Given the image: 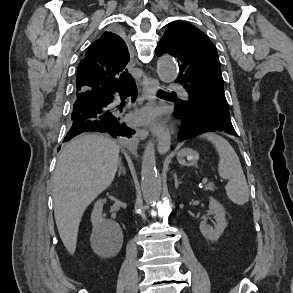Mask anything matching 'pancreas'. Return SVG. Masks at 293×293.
<instances>
[{
    "instance_id": "obj_1",
    "label": "pancreas",
    "mask_w": 293,
    "mask_h": 293,
    "mask_svg": "<svg viewBox=\"0 0 293 293\" xmlns=\"http://www.w3.org/2000/svg\"><path fill=\"white\" fill-rule=\"evenodd\" d=\"M205 191H214L215 190V186L213 183H209L204 187Z\"/></svg>"
}]
</instances>
